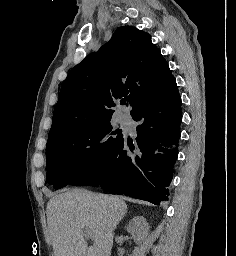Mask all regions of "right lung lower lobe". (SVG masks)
Masks as SVG:
<instances>
[{
    "mask_svg": "<svg viewBox=\"0 0 236 256\" xmlns=\"http://www.w3.org/2000/svg\"><path fill=\"white\" fill-rule=\"evenodd\" d=\"M135 145L126 136L90 171L69 184L100 186L111 194L126 195L159 205L168 200L173 167L178 156L181 97L176 81L144 101L131 114Z\"/></svg>",
    "mask_w": 236,
    "mask_h": 256,
    "instance_id": "right-lung-lower-lobe-1",
    "label": "right lung lower lobe"
}]
</instances>
